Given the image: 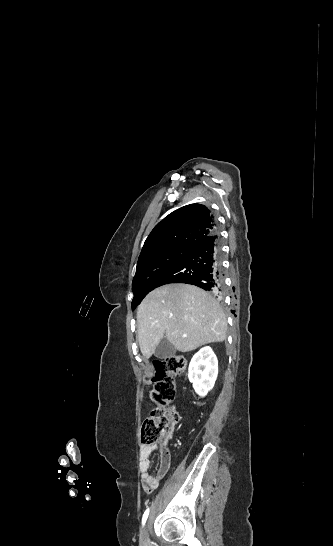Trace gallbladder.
Segmentation results:
<instances>
[{
  "mask_svg": "<svg viewBox=\"0 0 333 546\" xmlns=\"http://www.w3.org/2000/svg\"><path fill=\"white\" fill-rule=\"evenodd\" d=\"M175 353L176 348L166 339H163L154 351V355L157 359L170 358L174 356Z\"/></svg>",
  "mask_w": 333,
  "mask_h": 546,
  "instance_id": "bac80fb5",
  "label": "gallbladder"
}]
</instances>
